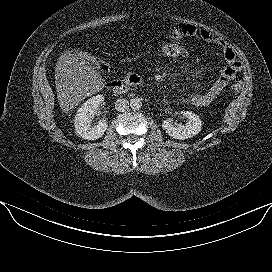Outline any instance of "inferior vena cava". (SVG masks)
<instances>
[{"label":"inferior vena cava","instance_id":"obj_1","mask_svg":"<svg viewBox=\"0 0 272 272\" xmlns=\"http://www.w3.org/2000/svg\"><path fill=\"white\" fill-rule=\"evenodd\" d=\"M129 107V101L125 98H119L115 102V109L119 112H124Z\"/></svg>","mask_w":272,"mask_h":272}]
</instances>
